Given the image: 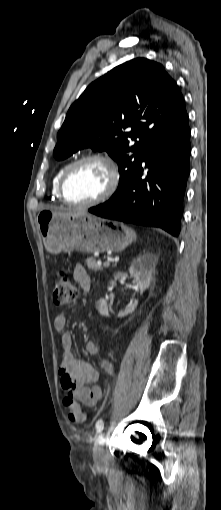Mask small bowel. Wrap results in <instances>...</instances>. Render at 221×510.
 <instances>
[{
  "label": "small bowel",
  "instance_id": "c3829d8e",
  "mask_svg": "<svg viewBox=\"0 0 221 510\" xmlns=\"http://www.w3.org/2000/svg\"><path fill=\"white\" fill-rule=\"evenodd\" d=\"M73 278L80 287L88 292L91 288V277L87 270L81 264L75 266ZM68 323L64 314H58L54 318L55 329L62 331ZM63 357L59 368L60 388L67 396L80 401L87 407H93L103 396V390L98 384L99 372L87 361L78 357L73 351V336L70 333H64L62 336ZM88 354L96 356L99 353L98 346L89 341L86 344ZM101 368L111 374L112 364L104 359L100 362Z\"/></svg>",
  "mask_w": 221,
  "mask_h": 510
}]
</instances>
